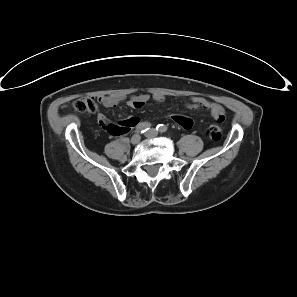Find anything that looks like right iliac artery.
<instances>
[{"instance_id":"1","label":"right iliac artery","mask_w":297,"mask_h":297,"mask_svg":"<svg viewBox=\"0 0 297 297\" xmlns=\"http://www.w3.org/2000/svg\"><path fill=\"white\" fill-rule=\"evenodd\" d=\"M150 126L151 124L148 123V122H142V123H139L136 127V130L135 132L137 133H144L146 132L148 129H150Z\"/></svg>"}]
</instances>
